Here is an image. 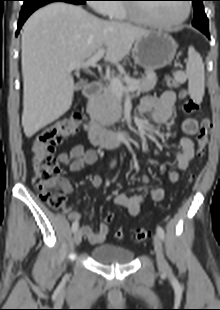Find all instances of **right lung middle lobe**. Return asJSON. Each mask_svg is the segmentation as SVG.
Returning <instances> with one entry per match:
<instances>
[{
  "label": "right lung middle lobe",
  "mask_w": 220,
  "mask_h": 310,
  "mask_svg": "<svg viewBox=\"0 0 220 310\" xmlns=\"http://www.w3.org/2000/svg\"><path fill=\"white\" fill-rule=\"evenodd\" d=\"M39 1H42V0H24V3H33V2H39Z\"/></svg>",
  "instance_id": "1"
}]
</instances>
